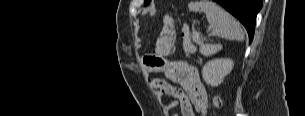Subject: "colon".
I'll use <instances>...</instances> for the list:
<instances>
[{"label": "colon", "mask_w": 305, "mask_h": 116, "mask_svg": "<svg viewBox=\"0 0 305 116\" xmlns=\"http://www.w3.org/2000/svg\"><path fill=\"white\" fill-rule=\"evenodd\" d=\"M212 103H213V106L215 108H219L220 107V100L218 97H214L213 100H212Z\"/></svg>", "instance_id": "obj_1"}]
</instances>
